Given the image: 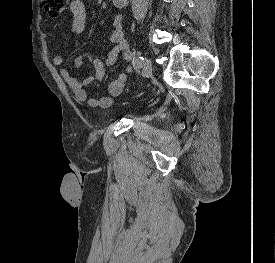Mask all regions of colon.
Here are the masks:
<instances>
[{
	"mask_svg": "<svg viewBox=\"0 0 275 263\" xmlns=\"http://www.w3.org/2000/svg\"><path fill=\"white\" fill-rule=\"evenodd\" d=\"M68 0H43L45 11L53 16L64 12L67 8Z\"/></svg>",
	"mask_w": 275,
	"mask_h": 263,
	"instance_id": "colon-1",
	"label": "colon"
}]
</instances>
